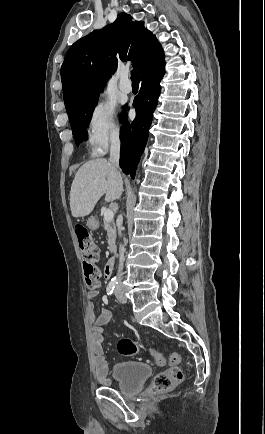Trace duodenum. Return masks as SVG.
Segmentation results:
<instances>
[{"mask_svg":"<svg viewBox=\"0 0 265 434\" xmlns=\"http://www.w3.org/2000/svg\"><path fill=\"white\" fill-rule=\"evenodd\" d=\"M114 266H115V260L110 259L106 262L105 267H104V276L106 278H111V276L113 274Z\"/></svg>","mask_w":265,"mask_h":434,"instance_id":"duodenum-1","label":"duodenum"}]
</instances>
